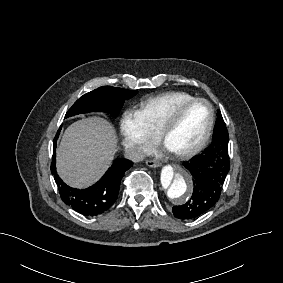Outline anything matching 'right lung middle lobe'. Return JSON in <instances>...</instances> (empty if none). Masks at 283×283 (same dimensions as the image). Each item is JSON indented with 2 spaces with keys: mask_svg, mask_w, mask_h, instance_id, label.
<instances>
[{
  "mask_svg": "<svg viewBox=\"0 0 283 283\" xmlns=\"http://www.w3.org/2000/svg\"><path fill=\"white\" fill-rule=\"evenodd\" d=\"M137 91L103 86L81 96L67 111L65 118L81 113L106 111L116 116L124 101L135 96Z\"/></svg>",
  "mask_w": 283,
  "mask_h": 283,
  "instance_id": "obj_1",
  "label": "right lung middle lobe"
}]
</instances>
